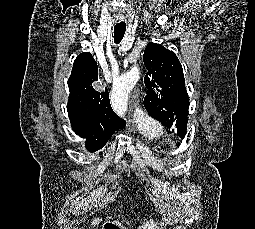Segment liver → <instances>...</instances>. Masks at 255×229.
<instances>
[{
    "label": "liver",
    "instance_id": "obj_1",
    "mask_svg": "<svg viewBox=\"0 0 255 229\" xmlns=\"http://www.w3.org/2000/svg\"><path fill=\"white\" fill-rule=\"evenodd\" d=\"M101 218H95L92 222V225H97L99 222H101ZM154 224L153 220H150L149 222L144 223L142 226H139L138 229H150V227ZM126 229V228H125Z\"/></svg>",
    "mask_w": 255,
    "mask_h": 229
}]
</instances>
